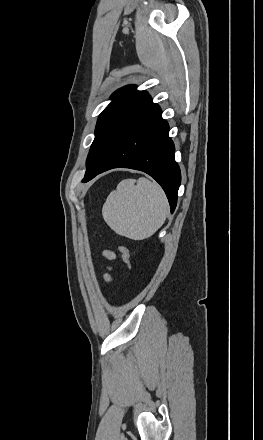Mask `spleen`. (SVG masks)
I'll return each mask as SVG.
<instances>
[{
  "label": "spleen",
  "instance_id": "obj_1",
  "mask_svg": "<svg viewBox=\"0 0 263 440\" xmlns=\"http://www.w3.org/2000/svg\"><path fill=\"white\" fill-rule=\"evenodd\" d=\"M168 212L163 189L145 177L121 181L102 208L107 225L117 234L133 240L151 237L164 224Z\"/></svg>",
  "mask_w": 263,
  "mask_h": 440
}]
</instances>
